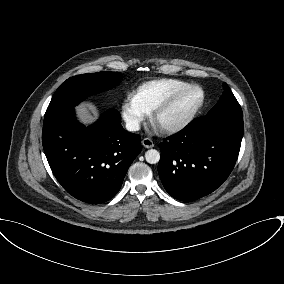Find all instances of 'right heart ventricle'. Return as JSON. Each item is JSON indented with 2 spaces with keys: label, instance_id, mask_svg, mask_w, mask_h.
Instances as JSON below:
<instances>
[{
  "label": "right heart ventricle",
  "instance_id": "obj_1",
  "mask_svg": "<svg viewBox=\"0 0 284 284\" xmlns=\"http://www.w3.org/2000/svg\"><path fill=\"white\" fill-rule=\"evenodd\" d=\"M187 85L189 83L178 79H156L141 84L134 95L147 113H151L173 93Z\"/></svg>",
  "mask_w": 284,
  "mask_h": 284
}]
</instances>
